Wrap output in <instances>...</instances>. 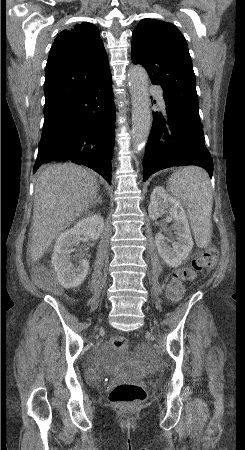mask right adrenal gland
Returning <instances> with one entry per match:
<instances>
[{
	"instance_id": "2a0ac1e0",
	"label": "right adrenal gland",
	"mask_w": 245,
	"mask_h": 450,
	"mask_svg": "<svg viewBox=\"0 0 245 450\" xmlns=\"http://www.w3.org/2000/svg\"><path fill=\"white\" fill-rule=\"evenodd\" d=\"M97 203H102V199L101 196L99 195L97 199H95L94 204L96 205Z\"/></svg>"
}]
</instances>
